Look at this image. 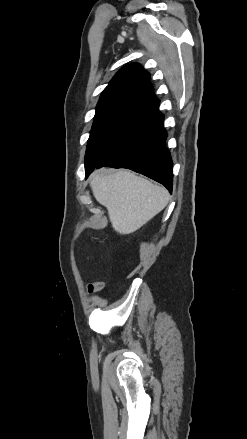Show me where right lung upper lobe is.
I'll list each match as a JSON object with an SVG mask.
<instances>
[{
  "label": "right lung upper lobe",
  "instance_id": "right-lung-upper-lobe-1",
  "mask_svg": "<svg viewBox=\"0 0 247 439\" xmlns=\"http://www.w3.org/2000/svg\"><path fill=\"white\" fill-rule=\"evenodd\" d=\"M149 76V73L138 63L124 66L102 92L97 107L122 104L133 109L157 114L159 100L153 93Z\"/></svg>",
  "mask_w": 247,
  "mask_h": 439
}]
</instances>
